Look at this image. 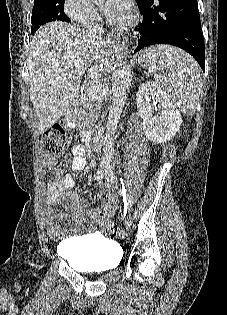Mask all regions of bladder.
I'll return each mask as SVG.
<instances>
[{"label": "bladder", "instance_id": "31cf9c89", "mask_svg": "<svg viewBox=\"0 0 227 315\" xmlns=\"http://www.w3.org/2000/svg\"><path fill=\"white\" fill-rule=\"evenodd\" d=\"M65 249H73L67 251ZM69 265L78 270L103 271L117 267L121 250L117 243L97 235L70 238L61 250Z\"/></svg>", "mask_w": 227, "mask_h": 315}]
</instances>
